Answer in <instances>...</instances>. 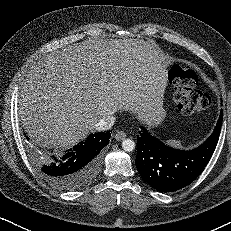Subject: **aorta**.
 <instances>
[{
    "instance_id": "762f6f07",
    "label": "aorta",
    "mask_w": 231,
    "mask_h": 231,
    "mask_svg": "<svg viewBox=\"0 0 231 231\" xmlns=\"http://www.w3.org/2000/svg\"><path fill=\"white\" fill-rule=\"evenodd\" d=\"M122 148L124 151L131 152L135 149V142L132 139H125L122 142Z\"/></svg>"
}]
</instances>
